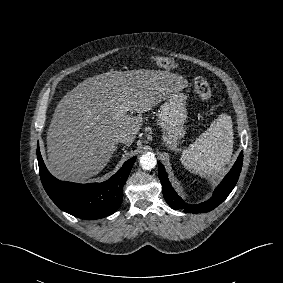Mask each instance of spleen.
<instances>
[{
	"mask_svg": "<svg viewBox=\"0 0 283 283\" xmlns=\"http://www.w3.org/2000/svg\"><path fill=\"white\" fill-rule=\"evenodd\" d=\"M233 139L231 116L221 114L195 142L183 150L181 163L194 174L215 175L230 162Z\"/></svg>",
	"mask_w": 283,
	"mask_h": 283,
	"instance_id": "spleen-1",
	"label": "spleen"
}]
</instances>
